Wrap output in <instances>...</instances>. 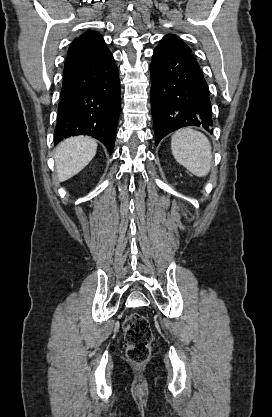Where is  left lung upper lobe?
I'll use <instances>...</instances> for the list:
<instances>
[{"label": "left lung upper lobe", "mask_w": 272, "mask_h": 417, "mask_svg": "<svg viewBox=\"0 0 272 417\" xmlns=\"http://www.w3.org/2000/svg\"><path fill=\"white\" fill-rule=\"evenodd\" d=\"M158 47L172 50L191 51L188 46L176 35L168 34L163 37Z\"/></svg>", "instance_id": "5c2ea615"}]
</instances>
